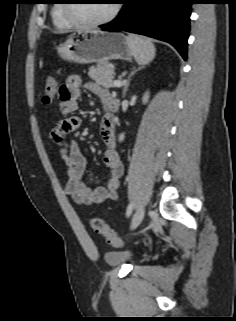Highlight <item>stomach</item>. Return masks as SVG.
Returning a JSON list of instances; mask_svg holds the SVG:
<instances>
[{"mask_svg": "<svg viewBox=\"0 0 236 321\" xmlns=\"http://www.w3.org/2000/svg\"><path fill=\"white\" fill-rule=\"evenodd\" d=\"M57 51L62 59L79 64L128 60L133 55L132 47L123 34L102 31L75 33Z\"/></svg>", "mask_w": 236, "mask_h": 321, "instance_id": "1", "label": "stomach"}]
</instances>
